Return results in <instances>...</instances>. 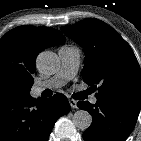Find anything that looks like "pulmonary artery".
I'll list each match as a JSON object with an SVG mask.
<instances>
[{
    "label": "pulmonary artery",
    "instance_id": "e3ab8cb5",
    "mask_svg": "<svg viewBox=\"0 0 141 141\" xmlns=\"http://www.w3.org/2000/svg\"><path fill=\"white\" fill-rule=\"evenodd\" d=\"M61 68L50 79L40 82L33 87V93L39 95L46 89H56L64 86L78 71L80 64V50L76 47H62L58 51ZM91 103L97 102V97H91Z\"/></svg>",
    "mask_w": 141,
    "mask_h": 141
}]
</instances>
